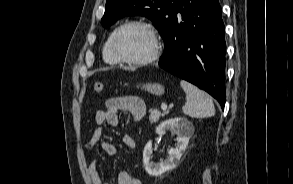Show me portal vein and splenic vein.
Returning a JSON list of instances; mask_svg holds the SVG:
<instances>
[{
    "instance_id": "portal-vein-and-splenic-vein-1",
    "label": "portal vein and splenic vein",
    "mask_w": 293,
    "mask_h": 184,
    "mask_svg": "<svg viewBox=\"0 0 293 184\" xmlns=\"http://www.w3.org/2000/svg\"><path fill=\"white\" fill-rule=\"evenodd\" d=\"M161 109H162L163 111L167 110V105H165V104L161 105Z\"/></svg>"
}]
</instances>
